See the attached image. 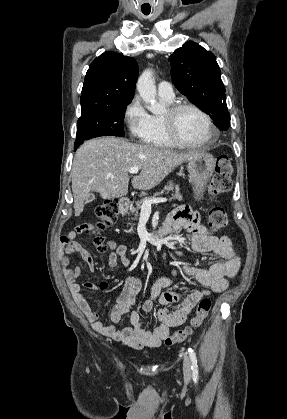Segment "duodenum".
Returning <instances> with one entry per match:
<instances>
[{
	"label": "duodenum",
	"instance_id": "1",
	"mask_svg": "<svg viewBox=\"0 0 287 419\" xmlns=\"http://www.w3.org/2000/svg\"><path fill=\"white\" fill-rule=\"evenodd\" d=\"M119 204L121 213H125L129 207V201L127 199H121ZM170 231V228L166 226L159 229L150 235L149 242L151 244H158L165 236L170 233Z\"/></svg>",
	"mask_w": 287,
	"mask_h": 419
}]
</instances>
